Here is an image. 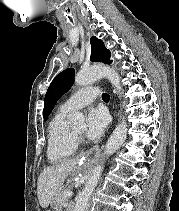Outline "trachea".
I'll return each instance as SVG.
<instances>
[{
    "mask_svg": "<svg viewBox=\"0 0 179 211\" xmlns=\"http://www.w3.org/2000/svg\"><path fill=\"white\" fill-rule=\"evenodd\" d=\"M102 99H103L104 101H108V100L110 99V97H109V95H108L107 93H103V94H102Z\"/></svg>",
    "mask_w": 179,
    "mask_h": 211,
    "instance_id": "3493384b",
    "label": "trachea"
}]
</instances>
